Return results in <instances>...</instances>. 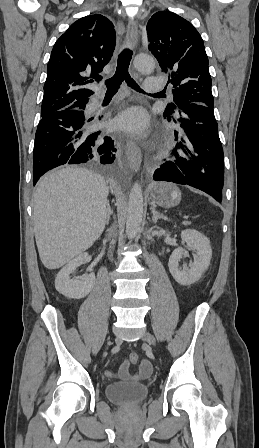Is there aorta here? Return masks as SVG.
Wrapping results in <instances>:
<instances>
[{"instance_id":"aorta-1","label":"aorta","mask_w":259,"mask_h":448,"mask_svg":"<svg viewBox=\"0 0 259 448\" xmlns=\"http://www.w3.org/2000/svg\"><path fill=\"white\" fill-rule=\"evenodd\" d=\"M135 68L141 73H151L154 70V59L145 54L137 55L134 59ZM143 191L139 183H134L129 194L127 221H126V236L128 239H133L141 230V223L143 217Z\"/></svg>"}]
</instances>
